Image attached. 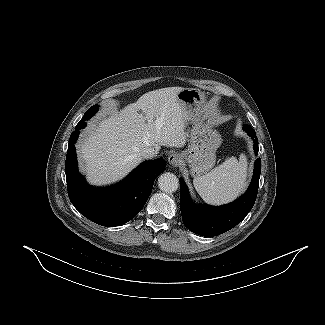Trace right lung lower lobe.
I'll return each mask as SVG.
<instances>
[{"label":"right lung lower lobe","mask_w":325,"mask_h":325,"mask_svg":"<svg viewBox=\"0 0 325 325\" xmlns=\"http://www.w3.org/2000/svg\"><path fill=\"white\" fill-rule=\"evenodd\" d=\"M85 126V121L80 122L69 139L65 163L68 196L75 208L89 220L108 227L124 224L144 207L156 177L165 169V161L162 158L145 161L117 185L93 188L77 170L74 143Z\"/></svg>","instance_id":"1"}]
</instances>
